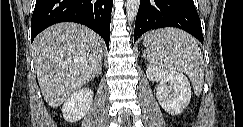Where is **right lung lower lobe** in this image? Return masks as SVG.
I'll return each instance as SVG.
<instances>
[{
  "label": "right lung lower lobe",
  "mask_w": 243,
  "mask_h": 127,
  "mask_svg": "<svg viewBox=\"0 0 243 127\" xmlns=\"http://www.w3.org/2000/svg\"><path fill=\"white\" fill-rule=\"evenodd\" d=\"M113 0H36L31 19V40L59 22H77L98 33L109 48Z\"/></svg>",
  "instance_id": "obj_1"
}]
</instances>
